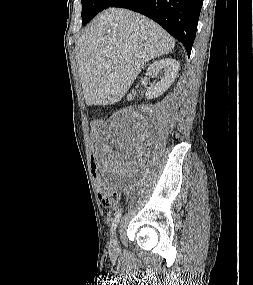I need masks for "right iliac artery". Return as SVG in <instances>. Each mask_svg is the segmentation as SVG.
Here are the masks:
<instances>
[{
  "label": "right iliac artery",
  "instance_id": "82829eb1",
  "mask_svg": "<svg viewBox=\"0 0 253 285\" xmlns=\"http://www.w3.org/2000/svg\"><path fill=\"white\" fill-rule=\"evenodd\" d=\"M120 217H121V212L118 211L115 216H114V219L112 221V225H111V233H112V236H114V233L116 231V228L118 226V223L120 221Z\"/></svg>",
  "mask_w": 253,
  "mask_h": 285
}]
</instances>
